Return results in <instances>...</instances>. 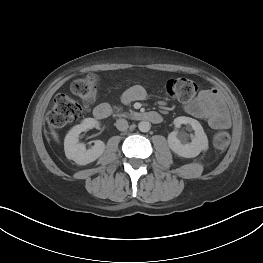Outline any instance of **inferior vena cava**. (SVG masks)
Returning a JSON list of instances; mask_svg holds the SVG:
<instances>
[{
    "mask_svg": "<svg viewBox=\"0 0 263 263\" xmlns=\"http://www.w3.org/2000/svg\"><path fill=\"white\" fill-rule=\"evenodd\" d=\"M115 126L119 131H125L128 128V122L125 119H118Z\"/></svg>",
    "mask_w": 263,
    "mask_h": 263,
    "instance_id": "inferior-vena-cava-1",
    "label": "inferior vena cava"
}]
</instances>
